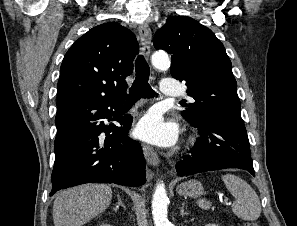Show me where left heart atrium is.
<instances>
[{
	"label": "left heart atrium",
	"mask_w": 297,
	"mask_h": 226,
	"mask_svg": "<svg viewBox=\"0 0 297 226\" xmlns=\"http://www.w3.org/2000/svg\"><path fill=\"white\" fill-rule=\"evenodd\" d=\"M135 134L148 142L168 146L177 138V128L172 123H165L160 115L149 113L136 127Z\"/></svg>",
	"instance_id": "1"
}]
</instances>
